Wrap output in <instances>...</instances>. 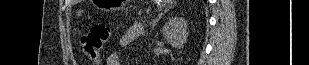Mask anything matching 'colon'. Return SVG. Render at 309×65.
<instances>
[{"label":"colon","instance_id":"1","mask_svg":"<svg viewBox=\"0 0 309 65\" xmlns=\"http://www.w3.org/2000/svg\"><path fill=\"white\" fill-rule=\"evenodd\" d=\"M113 30L107 25H96L84 32L80 37V43L85 56L93 63L101 60V52L109 42Z\"/></svg>","mask_w":309,"mask_h":65}]
</instances>
